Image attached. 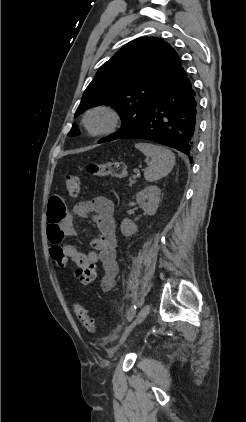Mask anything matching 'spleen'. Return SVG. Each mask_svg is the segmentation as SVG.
I'll use <instances>...</instances> for the list:
<instances>
[{
	"label": "spleen",
	"instance_id": "1",
	"mask_svg": "<svg viewBox=\"0 0 246 422\" xmlns=\"http://www.w3.org/2000/svg\"><path fill=\"white\" fill-rule=\"evenodd\" d=\"M135 147L145 156L150 157L144 178L148 182L157 181L165 177L175 165V155L168 148L149 143H136Z\"/></svg>",
	"mask_w": 246,
	"mask_h": 422
}]
</instances>
